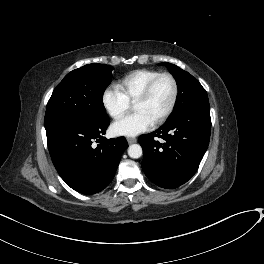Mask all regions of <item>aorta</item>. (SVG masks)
I'll return each mask as SVG.
<instances>
[{
    "label": "aorta",
    "mask_w": 264,
    "mask_h": 264,
    "mask_svg": "<svg viewBox=\"0 0 264 264\" xmlns=\"http://www.w3.org/2000/svg\"><path fill=\"white\" fill-rule=\"evenodd\" d=\"M128 155L131 158L137 159L142 156V148L139 144H132L128 148Z\"/></svg>",
    "instance_id": "obj_1"
}]
</instances>
